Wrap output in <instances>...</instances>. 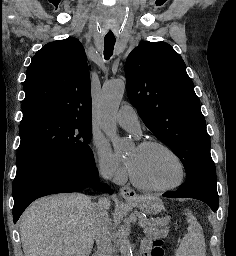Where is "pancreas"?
Returning a JSON list of instances; mask_svg holds the SVG:
<instances>
[{"label": "pancreas", "mask_w": 236, "mask_h": 256, "mask_svg": "<svg viewBox=\"0 0 236 256\" xmlns=\"http://www.w3.org/2000/svg\"><path fill=\"white\" fill-rule=\"evenodd\" d=\"M144 234L147 238H160V236H165V231H161L160 224H155L153 220H143Z\"/></svg>", "instance_id": "pancreas-1"}]
</instances>
